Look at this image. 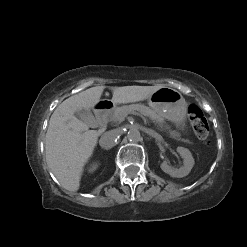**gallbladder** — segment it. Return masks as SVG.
<instances>
[{"mask_svg":"<svg viewBox=\"0 0 247 247\" xmlns=\"http://www.w3.org/2000/svg\"><path fill=\"white\" fill-rule=\"evenodd\" d=\"M76 117L85 122L88 125H92L95 121L94 116L89 110L82 109V110H77L75 113Z\"/></svg>","mask_w":247,"mask_h":247,"instance_id":"obj_1","label":"gallbladder"}]
</instances>
